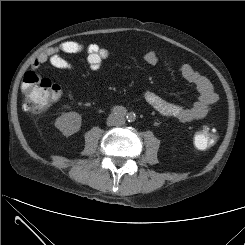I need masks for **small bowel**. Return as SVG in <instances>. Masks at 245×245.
<instances>
[{
    "mask_svg": "<svg viewBox=\"0 0 245 245\" xmlns=\"http://www.w3.org/2000/svg\"><path fill=\"white\" fill-rule=\"evenodd\" d=\"M63 54H84L93 72H97L102 62L109 56L108 50L98 44H84L69 40L40 53L34 60L32 68L36 69L45 63H50L60 70H74L73 65L63 57ZM144 59L149 65H156L159 62V56L155 51H148ZM180 73L187 82L194 85L198 93L196 100L190 106L182 107L170 103L154 93H147L145 98L147 103L162 116L175 118L181 122H190L207 114L216 103L218 96L211 82L191 65L183 64Z\"/></svg>",
    "mask_w": 245,
    "mask_h": 245,
    "instance_id": "small-bowel-1",
    "label": "small bowel"
}]
</instances>
